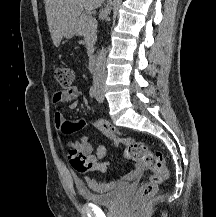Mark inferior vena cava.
I'll return each instance as SVG.
<instances>
[{
    "instance_id": "1",
    "label": "inferior vena cava",
    "mask_w": 216,
    "mask_h": 217,
    "mask_svg": "<svg viewBox=\"0 0 216 217\" xmlns=\"http://www.w3.org/2000/svg\"><path fill=\"white\" fill-rule=\"evenodd\" d=\"M110 13L109 5L104 9L105 16ZM105 57L106 52L105 49L102 48L98 53V57L96 60L95 70L93 73V83L94 85H103L106 79V68H105Z\"/></svg>"
}]
</instances>
